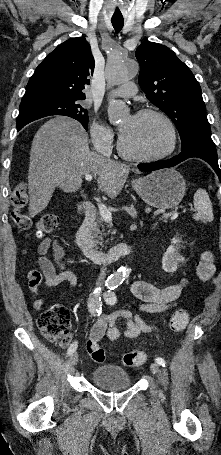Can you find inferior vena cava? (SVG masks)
<instances>
[{
    "instance_id": "obj_1",
    "label": "inferior vena cava",
    "mask_w": 221,
    "mask_h": 455,
    "mask_svg": "<svg viewBox=\"0 0 221 455\" xmlns=\"http://www.w3.org/2000/svg\"><path fill=\"white\" fill-rule=\"evenodd\" d=\"M106 270H107V268H106V266L104 265V266L101 268V270H100V274H99V276H98L97 283H96L97 285H102V284H103L104 279H105V277H106Z\"/></svg>"
}]
</instances>
